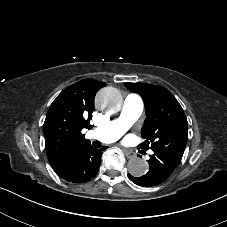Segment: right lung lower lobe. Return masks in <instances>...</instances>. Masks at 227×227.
<instances>
[{
	"mask_svg": "<svg viewBox=\"0 0 227 227\" xmlns=\"http://www.w3.org/2000/svg\"><path fill=\"white\" fill-rule=\"evenodd\" d=\"M102 149H95L88 144L75 152L55 173L61 178L73 182L83 183L94 177L100 167Z\"/></svg>",
	"mask_w": 227,
	"mask_h": 227,
	"instance_id": "right-lung-lower-lobe-1",
	"label": "right lung lower lobe"
}]
</instances>
